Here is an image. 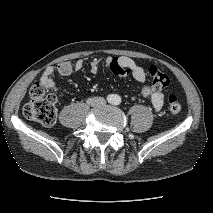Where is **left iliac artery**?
I'll use <instances>...</instances> for the list:
<instances>
[{"label": "left iliac artery", "mask_w": 213, "mask_h": 213, "mask_svg": "<svg viewBox=\"0 0 213 213\" xmlns=\"http://www.w3.org/2000/svg\"><path fill=\"white\" fill-rule=\"evenodd\" d=\"M115 103L118 104V103H119V100L117 99Z\"/></svg>", "instance_id": "1"}]
</instances>
